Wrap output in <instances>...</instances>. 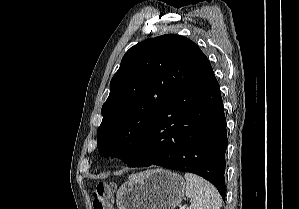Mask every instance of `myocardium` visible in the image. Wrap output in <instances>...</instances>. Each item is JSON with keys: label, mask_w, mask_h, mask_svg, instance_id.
<instances>
[{"label": "myocardium", "mask_w": 299, "mask_h": 209, "mask_svg": "<svg viewBox=\"0 0 299 209\" xmlns=\"http://www.w3.org/2000/svg\"><path fill=\"white\" fill-rule=\"evenodd\" d=\"M122 153V149L120 147H116L111 151V156L113 159H117Z\"/></svg>", "instance_id": "f54148a6"}]
</instances>
